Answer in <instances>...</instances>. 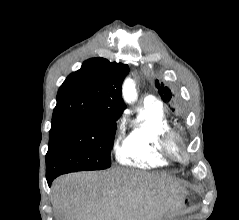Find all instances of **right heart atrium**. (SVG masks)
<instances>
[{
    "label": "right heart atrium",
    "mask_w": 239,
    "mask_h": 220,
    "mask_svg": "<svg viewBox=\"0 0 239 220\" xmlns=\"http://www.w3.org/2000/svg\"><path fill=\"white\" fill-rule=\"evenodd\" d=\"M123 132H124V123L122 120H118L116 122L115 135H114L115 142L121 137Z\"/></svg>",
    "instance_id": "obj_1"
}]
</instances>
